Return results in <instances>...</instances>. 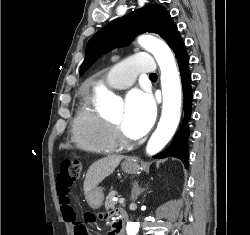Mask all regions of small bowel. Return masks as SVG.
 <instances>
[{"instance_id":"obj_1","label":"small bowel","mask_w":250,"mask_h":235,"mask_svg":"<svg viewBox=\"0 0 250 235\" xmlns=\"http://www.w3.org/2000/svg\"><path fill=\"white\" fill-rule=\"evenodd\" d=\"M61 215L66 222L75 223L74 211L71 204L70 192H65L57 187Z\"/></svg>"}]
</instances>
